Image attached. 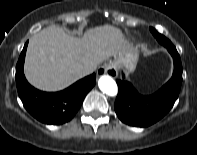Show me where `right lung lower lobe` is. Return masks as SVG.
<instances>
[{"mask_svg": "<svg viewBox=\"0 0 197 155\" xmlns=\"http://www.w3.org/2000/svg\"><path fill=\"white\" fill-rule=\"evenodd\" d=\"M27 44L16 66V85L19 97L26 110L45 124H63L70 121L81 107L87 93L93 88L96 75L93 73L60 92H42L32 87L23 72Z\"/></svg>", "mask_w": 197, "mask_h": 155, "instance_id": "98d812e1", "label": "right lung lower lobe"}]
</instances>
